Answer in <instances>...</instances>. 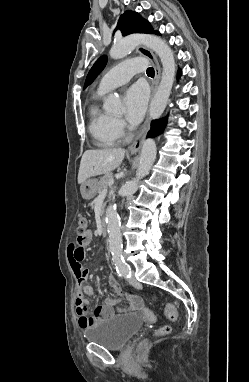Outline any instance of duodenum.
Masks as SVG:
<instances>
[{"mask_svg":"<svg viewBox=\"0 0 249 382\" xmlns=\"http://www.w3.org/2000/svg\"><path fill=\"white\" fill-rule=\"evenodd\" d=\"M99 228H100V232L103 236H106L108 234V224H107V221L104 217L100 221Z\"/></svg>","mask_w":249,"mask_h":382,"instance_id":"1","label":"duodenum"}]
</instances>
